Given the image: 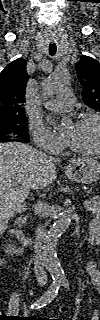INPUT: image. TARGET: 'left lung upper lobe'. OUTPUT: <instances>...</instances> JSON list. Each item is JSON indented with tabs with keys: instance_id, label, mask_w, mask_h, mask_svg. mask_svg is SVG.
<instances>
[{
	"instance_id": "obj_1",
	"label": "left lung upper lobe",
	"mask_w": 100,
	"mask_h": 320,
	"mask_svg": "<svg viewBox=\"0 0 100 320\" xmlns=\"http://www.w3.org/2000/svg\"><path fill=\"white\" fill-rule=\"evenodd\" d=\"M77 76L83 86L84 103L100 111V63L88 56H81L75 65Z\"/></svg>"
}]
</instances>
